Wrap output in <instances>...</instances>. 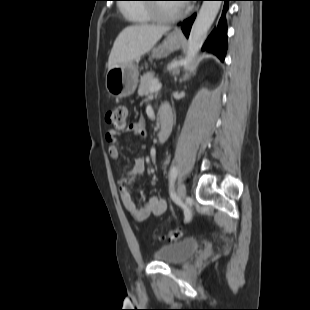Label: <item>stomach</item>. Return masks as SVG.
Masks as SVG:
<instances>
[{
    "mask_svg": "<svg viewBox=\"0 0 310 310\" xmlns=\"http://www.w3.org/2000/svg\"><path fill=\"white\" fill-rule=\"evenodd\" d=\"M180 44L181 38L171 33L158 48L153 50L152 56L160 58L166 53L177 50ZM137 84L138 69L133 62L108 69L106 73V89L111 95L117 98L132 95L136 90Z\"/></svg>",
    "mask_w": 310,
    "mask_h": 310,
    "instance_id": "1",
    "label": "stomach"
}]
</instances>
